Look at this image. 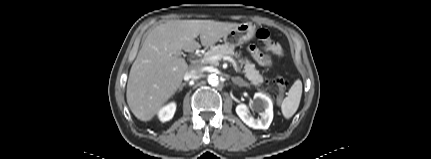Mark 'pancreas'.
I'll return each instance as SVG.
<instances>
[{
  "mask_svg": "<svg viewBox=\"0 0 431 159\" xmlns=\"http://www.w3.org/2000/svg\"><path fill=\"white\" fill-rule=\"evenodd\" d=\"M213 55L235 56L237 58H240V53H235L234 47L228 46L226 44L214 46L205 54V56ZM239 62L242 65L244 64L243 73L252 85L260 86L264 82L262 75L259 73L258 70H256L255 64L251 63V61H249L248 59H239Z\"/></svg>",
  "mask_w": 431,
  "mask_h": 159,
  "instance_id": "1",
  "label": "pancreas"
}]
</instances>
